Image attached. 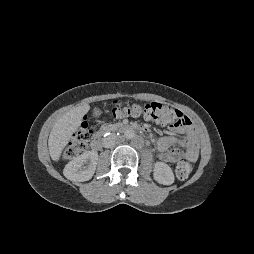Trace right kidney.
Returning <instances> with one entry per match:
<instances>
[{"mask_svg": "<svg viewBox=\"0 0 254 254\" xmlns=\"http://www.w3.org/2000/svg\"><path fill=\"white\" fill-rule=\"evenodd\" d=\"M98 162L96 151H86L75 157L64 168V176L74 182H84L92 178Z\"/></svg>", "mask_w": 254, "mask_h": 254, "instance_id": "ca27d5eb", "label": "right kidney"}]
</instances>
